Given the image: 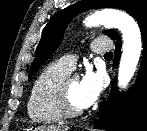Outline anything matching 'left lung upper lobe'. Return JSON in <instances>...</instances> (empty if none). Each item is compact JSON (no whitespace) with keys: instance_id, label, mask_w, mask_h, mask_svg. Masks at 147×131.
Here are the masks:
<instances>
[{"instance_id":"left-lung-upper-lobe-1","label":"left lung upper lobe","mask_w":147,"mask_h":131,"mask_svg":"<svg viewBox=\"0 0 147 131\" xmlns=\"http://www.w3.org/2000/svg\"><path fill=\"white\" fill-rule=\"evenodd\" d=\"M91 8H119L129 12L141 25L147 20V2L145 0H82L56 13L42 32L29 78L38 70L58 48L64 30L71 19L78 13ZM104 34L118 40L115 30H106Z\"/></svg>"}]
</instances>
